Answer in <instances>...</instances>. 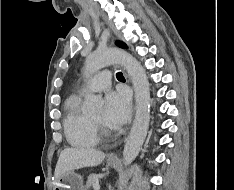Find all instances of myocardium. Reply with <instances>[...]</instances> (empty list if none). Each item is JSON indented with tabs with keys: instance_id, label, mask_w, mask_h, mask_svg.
<instances>
[{
	"instance_id": "obj_1",
	"label": "myocardium",
	"mask_w": 234,
	"mask_h": 190,
	"mask_svg": "<svg viewBox=\"0 0 234 190\" xmlns=\"http://www.w3.org/2000/svg\"><path fill=\"white\" fill-rule=\"evenodd\" d=\"M91 122L98 134L102 136H109L111 134L110 129L103 122L97 121L93 118H91Z\"/></svg>"
}]
</instances>
